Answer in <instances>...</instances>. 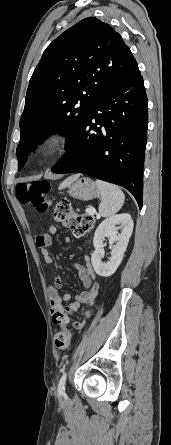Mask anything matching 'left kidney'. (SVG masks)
Returning <instances> with one entry per match:
<instances>
[{
    "mask_svg": "<svg viewBox=\"0 0 171 445\" xmlns=\"http://www.w3.org/2000/svg\"><path fill=\"white\" fill-rule=\"evenodd\" d=\"M121 230L119 233L118 230ZM133 231V220L130 214H118L105 219L97 227L93 245L95 251L91 262L95 272L102 277H109L115 273L122 262L129 239ZM109 238L111 257L107 262H102L104 256L103 241ZM115 243V245H113Z\"/></svg>",
    "mask_w": 171,
    "mask_h": 445,
    "instance_id": "1",
    "label": "left kidney"
}]
</instances>
